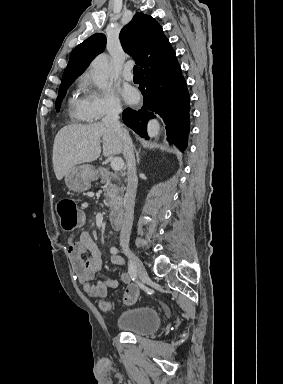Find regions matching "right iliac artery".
I'll use <instances>...</instances> for the list:
<instances>
[{"label":"right iliac artery","instance_id":"right-iliac-artery-1","mask_svg":"<svg viewBox=\"0 0 283 384\" xmlns=\"http://www.w3.org/2000/svg\"><path fill=\"white\" fill-rule=\"evenodd\" d=\"M110 252L112 254H117L118 253V249L116 247H112ZM128 272H129L132 280H136V278H137V270H136V268H135V266H134V264L132 262L128 263Z\"/></svg>","mask_w":283,"mask_h":384}]
</instances>
